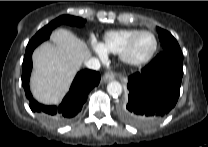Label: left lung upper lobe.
I'll use <instances>...</instances> for the list:
<instances>
[{
    "label": "left lung upper lobe",
    "mask_w": 208,
    "mask_h": 147,
    "mask_svg": "<svg viewBox=\"0 0 208 147\" xmlns=\"http://www.w3.org/2000/svg\"><path fill=\"white\" fill-rule=\"evenodd\" d=\"M156 29L164 51H171L182 54L177 40L171 35L170 32L158 27Z\"/></svg>",
    "instance_id": "5c2ea615"
}]
</instances>
